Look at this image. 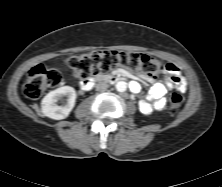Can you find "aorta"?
<instances>
[{"instance_id":"762f6f07","label":"aorta","mask_w":222,"mask_h":187,"mask_svg":"<svg viewBox=\"0 0 222 187\" xmlns=\"http://www.w3.org/2000/svg\"><path fill=\"white\" fill-rule=\"evenodd\" d=\"M115 87L118 92H125L127 89V83L124 81H119L116 83Z\"/></svg>"}]
</instances>
